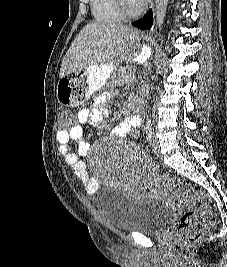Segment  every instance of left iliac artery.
Here are the masks:
<instances>
[{
	"mask_svg": "<svg viewBox=\"0 0 227 267\" xmlns=\"http://www.w3.org/2000/svg\"><path fill=\"white\" fill-rule=\"evenodd\" d=\"M152 138H153V131L152 130H149L147 132V140L151 142L152 141Z\"/></svg>",
	"mask_w": 227,
	"mask_h": 267,
	"instance_id": "44dca946",
	"label": "left iliac artery"
}]
</instances>
